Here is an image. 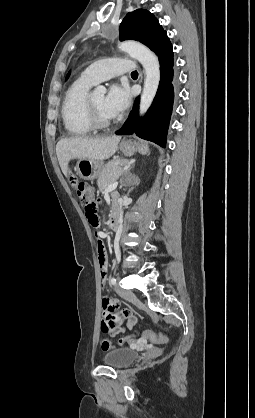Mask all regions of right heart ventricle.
<instances>
[{
    "instance_id": "obj_1",
    "label": "right heart ventricle",
    "mask_w": 255,
    "mask_h": 418,
    "mask_svg": "<svg viewBox=\"0 0 255 418\" xmlns=\"http://www.w3.org/2000/svg\"><path fill=\"white\" fill-rule=\"evenodd\" d=\"M93 85L91 81L81 76L65 93L61 115L66 131L72 136H86L94 130L87 114V98Z\"/></svg>"
}]
</instances>
